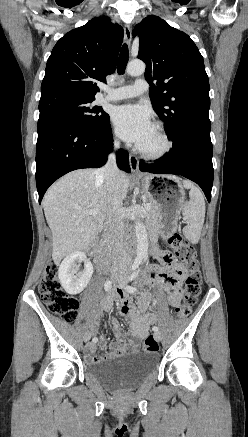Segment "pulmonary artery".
<instances>
[{
  "label": "pulmonary artery",
  "mask_w": 248,
  "mask_h": 437,
  "mask_svg": "<svg viewBox=\"0 0 248 437\" xmlns=\"http://www.w3.org/2000/svg\"><path fill=\"white\" fill-rule=\"evenodd\" d=\"M149 85L145 79H137L133 85H124L114 91L109 92L105 101H118L133 98L148 91Z\"/></svg>",
  "instance_id": "1"
}]
</instances>
